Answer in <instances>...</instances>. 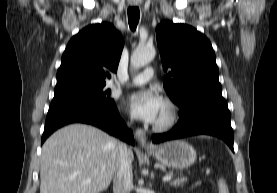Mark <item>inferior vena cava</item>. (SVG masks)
<instances>
[{
    "label": "inferior vena cava",
    "instance_id": "1",
    "mask_svg": "<svg viewBox=\"0 0 277 193\" xmlns=\"http://www.w3.org/2000/svg\"><path fill=\"white\" fill-rule=\"evenodd\" d=\"M133 187L132 165L130 150L126 144H119L117 153V165L113 177L114 193H130Z\"/></svg>",
    "mask_w": 277,
    "mask_h": 193
}]
</instances>
